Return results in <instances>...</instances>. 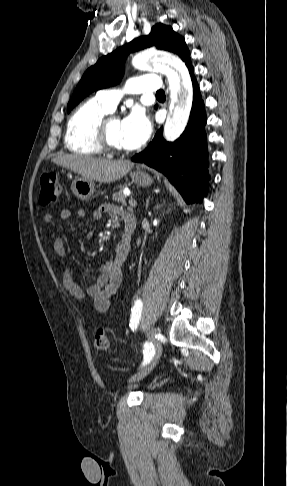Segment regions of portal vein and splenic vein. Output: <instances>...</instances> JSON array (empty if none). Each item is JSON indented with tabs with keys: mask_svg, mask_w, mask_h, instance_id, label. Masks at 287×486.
I'll use <instances>...</instances> for the list:
<instances>
[{
	"mask_svg": "<svg viewBox=\"0 0 287 486\" xmlns=\"http://www.w3.org/2000/svg\"><path fill=\"white\" fill-rule=\"evenodd\" d=\"M129 204H130V206H132V207H136V206H137V202H136V200H135V199H133V198H130V199H129Z\"/></svg>",
	"mask_w": 287,
	"mask_h": 486,
	"instance_id": "portal-vein-and-splenic-vein-1",
	"label": "portal vein and splenic vein"
}]
</instances>
